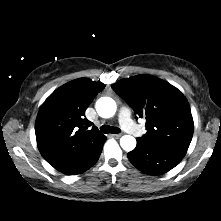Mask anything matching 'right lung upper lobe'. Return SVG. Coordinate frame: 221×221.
Here are the masks:
<instances>
[{
    "instance_id": "right-lung-upper-lobe-1",
    "label": "right lung upper lobe",
    "mask_w": 221,
    "mask_h": 221,
    "mask_svg": "<svg viewBox=\"0 0 221 221\" xmlns=\"http://www.w3.org/2000/svg\"><path fill=\"white\" fill-rule=\"evenodd\" d=\"M104 88L102 83L79 78L59 87L41 106L35 123L37 145L56 170L73 175L101 151L106 137L85 111Z\"/></svg>"
}]
</instances>
